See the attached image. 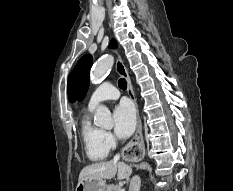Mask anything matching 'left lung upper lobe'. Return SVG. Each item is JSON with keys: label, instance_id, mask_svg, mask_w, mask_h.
<instances>
[{"label": "left lung upper lobe", "instance_id": "1", "mask_svg": "<svg viewBox=\"0 0 233 191\" xmlns=\"http://www.w3.org/2000/svg\"><path fill=\"white\" fill-rule=\"evenodd\" d=\"M115 40L111 41L110 48H116ZM92 56H83L68 77V98L70 102L81 101L86 96L89 83V71L92 66Z\"/></svg>", "mask_w": 233, "mask_h": 191}]
</instances>
